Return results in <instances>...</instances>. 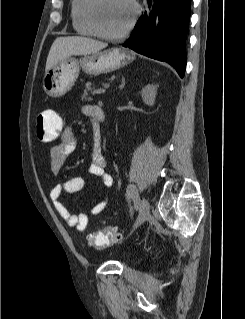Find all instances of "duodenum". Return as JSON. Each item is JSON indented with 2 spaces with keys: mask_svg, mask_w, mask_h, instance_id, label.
<instances>
[{
  "mask_svg": "<svg viewBox=\"0 0 245 319\" xmlns=\"http://www.w3.org/2000/svg\"><path fill=\"white\" fill-rule=\"evenodd\" d=\"M102 119H103V116L100 117V120H102Z\"/></svg>",
  "mask_w": 245,
  "mask_h": 319,
  "instance_id": "obj_1",
  "label": "duodenum"
}]
</instances>
